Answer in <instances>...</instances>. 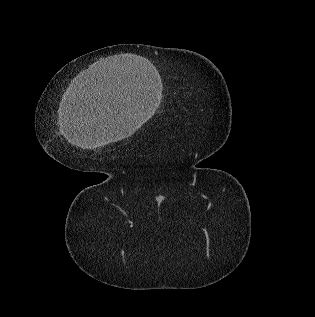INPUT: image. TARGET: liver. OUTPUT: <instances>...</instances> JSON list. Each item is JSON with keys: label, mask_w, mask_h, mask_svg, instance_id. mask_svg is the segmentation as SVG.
Returning a JSON list of instances; mask_svg holds the SVG:
<instances>
[{"label": "liver", "mask_w": 315, "mask_h": 317, "mask_svg": "<svg viewBox=\"0 0 315 317\" xmlns=\"http://www.w3.org/2000/svg\"><path fill=\"white\" fill-rule=\"evenodd\" d=\"M71 104L63 109L60 128L68 142L83 149L125 139L141 125L125 107L118 106L108 94L98 96L96 90L85 93V97L83 91Z\"/></svg>", "instance_id": "1"}]
</instances>
